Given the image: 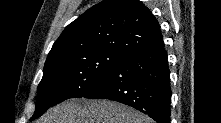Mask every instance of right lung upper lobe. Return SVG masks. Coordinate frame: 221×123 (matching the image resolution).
Wrapping results in <instances>:
<instances>
[{
	"label": "right lung upper lobe",
	"instance_id": "right-lung-upper-lobe-1",
	"mask_svg": "<svg viewBox=\"0 0 221 123\" xmlns=\"http://www.w3.org/2000/svg\"><path fill=\"white\" fill-rule=\"evenodd\" d=\"M163 45L157 19L139 0H103L70 23L46 62L90 49L130 54ZM45 62V63H46Z\"/></svg>",
	"mask_w": 221,
	"mask_h": 123
}]
</instances>
